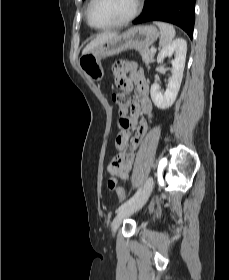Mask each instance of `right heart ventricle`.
<instances>
[{
	"instance_id": "e07e8e85",
	"label": "right heart ventricle",
	"mask_w": 229,
	"mask_h": 280,
	"mask_svg": "<svg viewBox=\"0 0 229 280\" xmlns=\"http://www.w3.org/2000/svg\"><path fill=\"white\" fill-rule=\"evenodd\" d=\"M91 2H92V1L90 0V2L88 3L86 14H88V10H89V7H90V5H91Z\"/></svg>"
}]
</instances>
